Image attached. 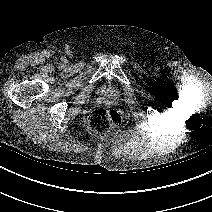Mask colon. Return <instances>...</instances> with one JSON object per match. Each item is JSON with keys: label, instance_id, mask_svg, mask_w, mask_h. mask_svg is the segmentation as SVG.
Masks as SVG:
<instances>
[{"label": "colon", "instance_id": "5ec220e1", "mask_svg": "<svg viewBox=\"0 0 212 212\" xmlns=\"http://www.w3.org/2000/svg\"><path fill=\"white\" fill-rule=\"evenodd\" d=\"M88 122L93 131L104 133L118 128L122 123V117L112 108L100 107L90 113Z\"/></svg>", "mask_w": 212, "mask_h": 212}]
</instances>
